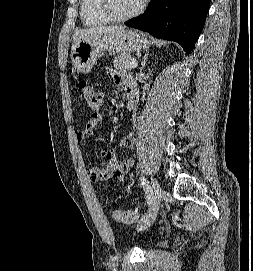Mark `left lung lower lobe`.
Instances as JSON below:
<instances>
[{
  "label": "left lung lower lobe",
  "mask_w": 253,
  "mask_h": 271,
  "mask_svg": "<svg viewBox=\"0 0 253 271\" xmlns=\"http://www.w3.org/2000/svg\"><path fill=\"white\" fill-rule=\"evenodd\" d=\"M209 7L210 0H151L146 12L126 25L176 41L189 54L203 29Z\"/></svg>",
  "instance_id": "left-lung-lower-lobe-1"
}]
</instances>
